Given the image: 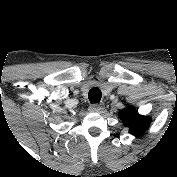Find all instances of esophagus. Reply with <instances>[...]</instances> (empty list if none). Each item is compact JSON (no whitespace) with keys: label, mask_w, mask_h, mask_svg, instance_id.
Wrapping results in <instances>:
<instances>
[{"label":"esophagus","mask_w":177,"mask_h":177,"mask_svg":"<svg viewBox=\"0 0 177 177\" xmlns=\"http://www.w3.org/2000/svg\"><path fill=\"white\" fill-rule=\"evenodd\" d=\"M103 109H104V104H92V105L89 107V110H90L91 112H95V113H99V112H101Z\"/></svg>","instance_id":"obj_1"}]
</instances>
